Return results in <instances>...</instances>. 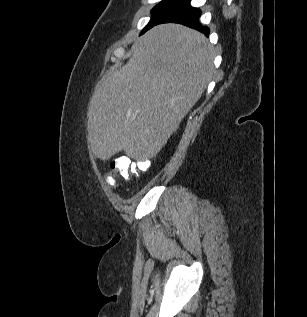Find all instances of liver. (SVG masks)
<instances>
[{"label":"liver","mask_w":307,"mask_h":317,"mask_svg":"<svg viewBox=\"0 0 307 317\" xmlns=\"http://www.w3.org/2000/svg\"><path fill=\"white\" fill-rule=\"evenodd\" d=\"M213 60L206 37L183 25L145 33L93 93L87 117L94 155L105 161L124 151L145 160L158 153L206 89Z\"/></svg>","instance_id":"liver-1"}]
</instances>
